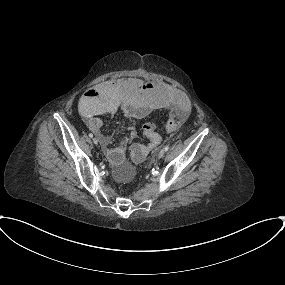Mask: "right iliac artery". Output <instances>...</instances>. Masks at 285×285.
Here are the masks:
<instances>
[{
    "instance_id": "82829eb1",
    "label": "right iliac artery",
    "mask_w": 285,
    "mask_h": 285,
    "mask_svg": "<svg viewBox=\"0 0 285 285\" xmlns=\"http://www.w3.org/2000/svg\"><path fill=\"white\" fill-rule=\"evenodd\" d=\"M89 137H90V138H92V137H93V134H92V133H90V134H89Z\"/></svg>"
}]
</instances>
